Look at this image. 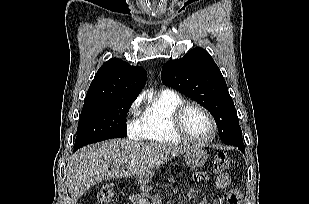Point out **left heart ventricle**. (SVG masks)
<instances>
[{"label":"left heart ventricle","mask_w":309,"mask_h":204,"mask_svg":"<svg viewBox=\"0 0 309 204\" xmlns=\"http://www.w3.org/2000/svg\"><path fill=\"white\" fill-rule=\"evenodd\" d=\"M183 122L186 130L196 139L205 140L210 137L212 128L206 115L196 107H190L184 114Z\"/></svg>","instance_id":"b2bd125f"}]
</instances>
